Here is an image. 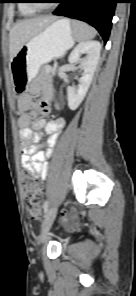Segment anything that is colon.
<instances>
[{
  "mask_svg": "<svg viewBox=\"0 0 136 296\" xmlns=\"http://www.w3.org/2000/svg\"><path fill=\"white\" fill-rule=\"evenodd\" d=\"M25 194L27 196V210L32 218L38 219L41 214V189L42 185L26 176L23 181Z\"/></svg>",
  "mask_w": 136,
  "mask_h": 296,
  "instance_id": "1",
  "label": "colon"
}]
</instances>
